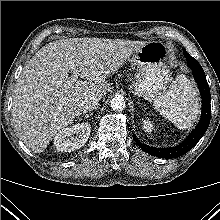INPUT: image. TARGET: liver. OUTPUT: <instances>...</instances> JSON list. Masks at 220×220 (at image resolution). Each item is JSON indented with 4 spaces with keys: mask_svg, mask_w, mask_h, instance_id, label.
<instances>
[{
    "mask_svg": "<svg viewBox=\"0 0 220 220\" xmlns=\"http://www.w3.org/2000/svg\"><path fill=\"white\" fill-rule=\"evenodd\" d=\"M145 42L68 38L42 47L24 66L14 90L12 117L23 143L43 152L61 129L80 115V102L106 95L114 74ZM84 79L69 84L70 65Z\"/></svg>",
    "mask_w": 220,
    "mask_h": 220,
    "instance_id": "obj_1",
    "label": "liver"
}]
</instances>
